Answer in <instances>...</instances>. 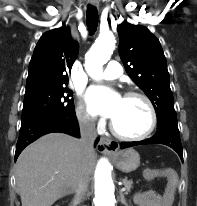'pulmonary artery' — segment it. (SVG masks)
Returning <instances> with one entry per match:
<instances>
[{"label": "pulmonary artery", "instance_id": "e3ab8cb5", "mask_svg": "<svg viewBox=\"0 0 197 206\" xmlns=\"http://www.w3.org/2000/svg\"><path fill=\"white\" fill-rule=\"evenodd\" d=\"M123 72L122 66L117 61H109L107 64V68L102 73L101 77L103 79L111 80L118 78Z\"/></svg>", "mask_w": 197, "mask_h": 206}]
</instances>
